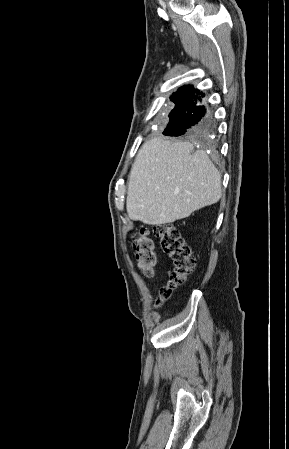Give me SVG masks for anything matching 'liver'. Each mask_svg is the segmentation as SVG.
<instances>
[{
	"mask_svg": "<svg viewBox=\"0 0 289 449\" xmlns=\"http://www.w3.org/2000/svg\"><path fill=\"white\" fill-rule=\"evenodd\" d=\"M190 142L146 141L132 165L126 200L128 217L160 226L216 203L221 174Z\"/></svg>",
	"mask_w": 289,
	"mask_h": 449,
	"instance_id": "liver-1",
	"label": "liver"
}]
</instances>
